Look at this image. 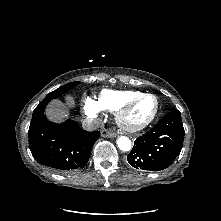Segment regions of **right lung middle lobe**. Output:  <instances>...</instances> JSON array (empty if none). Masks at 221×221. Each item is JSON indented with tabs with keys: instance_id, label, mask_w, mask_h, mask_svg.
<instances>
[{
	"instance_id": "obj_1",
	"label": "right lung middle lobe",
	"mask_w": 221,
	"mask_h": 221,
	"mask_svg": "<svg viewBox=\"0 0 221 221\" xmlns=\"http://www.w3.org/2000/svg\"><path fill=\"white\" fill-rule=\"evenodd\" d=\"M80 82L79 81H74V82H70L68 84H65L64 86L50 92L44 99L43 101H50L52 99H55L57 97H59L61 94L67 92L68 90H70L71 88L75 87L76 85H78Z\"/></svg>"
}]
</instances>
